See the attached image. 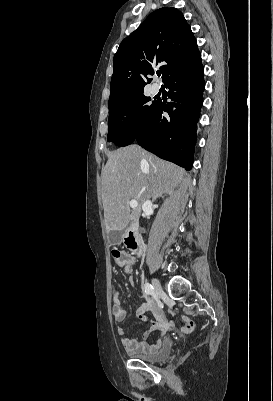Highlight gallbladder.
Returning <instances> with one entry per match:
<instances>
[{
    "mask_svg": "<svg viewBox=\"0 0 273 401\" xmlns=\"http://www.w3.org/2000/svg\"><path fill=\"white\" fill-rule=\"evenodd\" d=\"M107 232L110 243H120L122 239V233L119 231L118 227H109Z\"/></svg>",
    "mask_w": 273,
    "mask_h": 401,
    "instance_id": "gallbladder-1",
    "label": "gallbladder"
}]
</instances>
